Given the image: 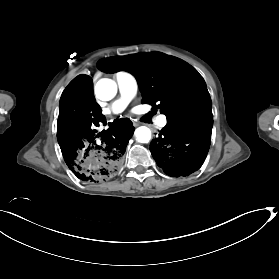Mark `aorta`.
<instances>
[{"label":"aorta","instance_id":"1","mask_svg":"<svg viewBox=\"0 0 279 279\" xmlns=\"http://www.w3.org/2000/svg\"><path fill=\"white\" fill-rule=\"evenodd\" d=\"M117 93L116 83L108 78L100 79L95 86L96 97L102 101H109ZM135 136L140 143H148L151 139V130L146 126L138 127Z\"/></svg>","mask_w":279,"mask_h":279}]
</instances>
